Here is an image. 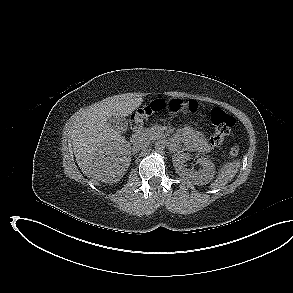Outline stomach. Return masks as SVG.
<instances>
[{
  "label": "stomach",
  "instance_id": "1",
  "mask_svg": "<svg viewBox=\"0 0 293 293\" xmlns=\"http://www.w3.org/2000/svg\"><path fill=\"white\" fill-rule=\"evenodd\" d=\"M186 107V102L182 98H175L169 101L168 110L172 115L182 112Z\"/></svg>",
  "mask_w": 293,
  "mask_h": 293
}]
</instances>
